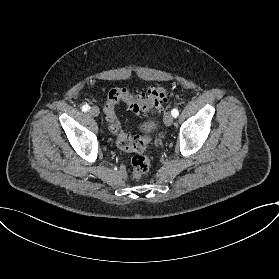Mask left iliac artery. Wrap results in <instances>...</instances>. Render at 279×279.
I'll use <instances>...</instances> for the list:
<instances>
[{
	"label": "left iliac artery",
	"mask_w": 279,
	"mask_h": 279,
	"mask_svg": "<svg viewBox=\"0 0 279 279\" xmlns=\"http://www.w3.org/2000/svg\"><path fill=\"white\" fill-rule=\"evenodd\" d=\"M171 115H172L174 118H176V117L179 115L178 110H177V109H173V110L171 111Z\"/></svg>",
	"instance_id": "44dca946"
}]
</instances>
